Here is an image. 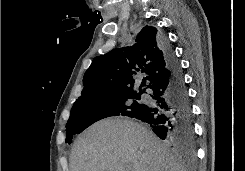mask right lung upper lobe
<instances>
[{
	"instance_id": "right-lung-upper-lobe-1",
	"label": "right lung upper lobe",
	"mask_w": 245,
	"mask_h": 171,
	"mask_svg": "<svg viewBox=\"0 0 245 171\" xmlns=\"http://www.w3.org/2000/svg\"><path fill=\"white\" fill-rule=\"evenodd\" d=\"M146 73L139 87H148L167 76L169 69L157 29L145 26L131 47L113 49L94 58L83 77L84 88L76 101L97 100L114 95L136 94V75Z\"/></svg>"
}]
</instances>
